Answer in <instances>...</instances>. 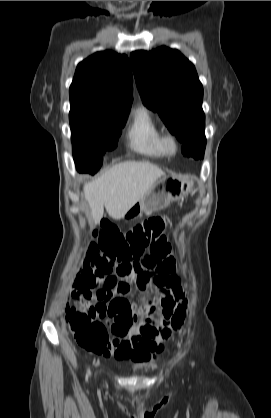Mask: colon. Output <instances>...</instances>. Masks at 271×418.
<instances>
[{
	"label": "colon",
	"mask_w": 271,
	"mask_h": 418,
	"mask_svg": "<svg viewBox=\"0 0 271 418\" xmlns=\"http://www.w3.org/2000/svg\"><path fill=\"white\" fill-rule=\"evenodd\" d=\"M164 227L165 221L161 217H150L126 232H121L115 225L104 222L99 230L93 232L96 241L92 242L88 248L87 261L82 271H86L90 262L100 257L116 262H130L138 260L143 255H149V245L155 242L157 238L162 237ZM167 250L169 253L168 246ZM158 266L160 270V263H158ZM80 278L81 274L78 276L77 282ZM94 282L95 279L88 275V285H93ZM96 296L97 293L93 296L90 289L74 291L72 294L74 306L66 307V321L77 343L83 348L94 352L105 348L111 340L107 336L108 328L105 327V323H97V314L89 313L90 304L88 309L82 308L84 301L90 302ZM166 315L169 316L171 322V329L165 331L166 337H169L172 334V330L179 329L183 324L185 312L178 310L173 314L167 313ZM142 332L148 333V330L142 328Z\"/></svg>",
	"instance_id": "obj_1"
}]
</instances>
